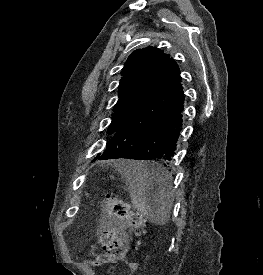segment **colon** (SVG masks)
Instances as JSON below:
<instances>
[{"label":"colon","instance_id":"5ec220e1","mask_svg":"<svg viewBox=\"0 0 263 275\" xmlns=\"http://www.w3.org/2000/svg\"><path fill=\"white\" fill-rule=\"evenodd\" d=\"M104 205L108 213L118 222L127 225L138 233L145 231V221L138 212L130 210L129 206L118 196L107 194ZM103 252L90 261L93 267L115 264L124 260L126 247L121 238L112 230H104L100 235ZM136 267L133 266V270Z\"/></svg>","mask_w":263,"mask_h":275}]
</instances>
